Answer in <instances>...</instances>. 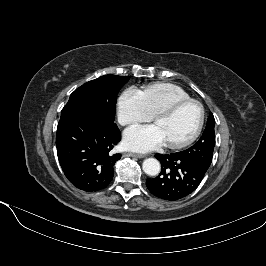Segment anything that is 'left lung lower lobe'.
Masks as SVG:
<instances>
[{
  "mask_svg": "<svg viewBox=\"0 0 266 266\" xmlns=\"http://www.w3.org/2000/svg\"><path fill=\"white\" fill-rule=\"evenodd\" d=\"M161 162V172L153 179H147L146 186L156 197L176 201L191 194L202 181L206 171L179 152L169 155L156 154Z\"/></svg>",
  "mask_w": 266,
  "mask_h": 266,
  "instance_id": "1",
  "label": "left lung lower lobe"
}]
</instances>
